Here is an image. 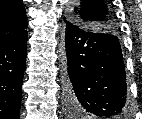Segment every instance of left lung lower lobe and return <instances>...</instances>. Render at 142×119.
<instances>
[{"label":"left lung lower lobe","instance_id":"0a47b994","mask_svg":"<svg viewBox=\"0 0 142 119\" xmlns=\"http://www.w3.org/2000/svg\"><path fill=\"white\" fill-rule=\"evenodd\" d=\"M66 23L67 74L65 96L73 114L98 119H125L130 114L125 68L115 34Z\"/></svg>","mask_w":142,"mask_h":119}]
</instances>
